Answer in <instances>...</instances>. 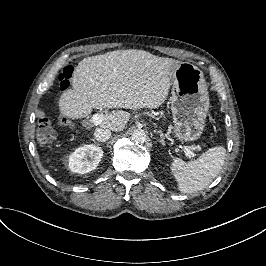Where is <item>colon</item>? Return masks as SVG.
<instances>
[{
    "label": "colon",
    "mask_w": 266,
    "mask_h": 266,
    "mask_svg": "<svg viewBox=\"0 0 266 266\" xmlns=\"http://www.w3.org/2000/svg\"><path fill=\"white\" fill-rule=\"evenodd\" d=\"M73 66H67L60 75V86L62 90L69 88V81L73 77ZM208 131V128H206ZM55 138L54 124L50 117H42L37 124V139L42 143H50Z\"/></svg>",
    "instance_id": "colon-1"
}]
</instances>
